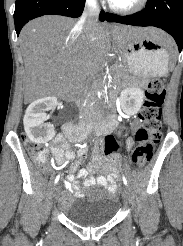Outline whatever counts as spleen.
Segmentation results:
<instances>
[{"label": "spleen", "instance_id": "obj_1", "mask_svg": "<svg viewBox=\"0 0 183 246\" xmlns=\"http://www.w3.org/2000/svg\"><path fill=\"white\" fill-rule=\"evenodd\" d=\"M138 56L139 57H145L146 56V54L145 53H143V52H140L139 54H138ZM167 72V71H166Z\"/></svg>", "mask_w": 183, "mask_h": 246}]
</instances>
